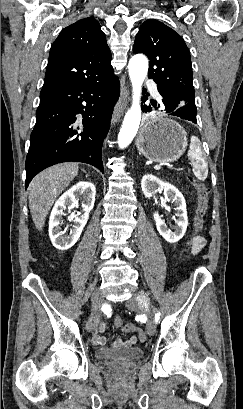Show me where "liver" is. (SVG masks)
Masks as SVG:
<instances>
[{
    "instance_id": "obj_1",
    "label": "liver",
    "mask_w": 243,
    "mask_h": 409,
    "mask_svg": "<svg viewBox=\"0 0 243 409\" xmlns=\"http://www.w3.org/2000/svg\"><path fill=\"white\" fill-rule=\"evenodd\" d=\"M78 164L62 163L45 169L31 181L29 209L35 227L42 231L46 216L56 198L78 174Z\"/></svg>"
}]
</instances>
